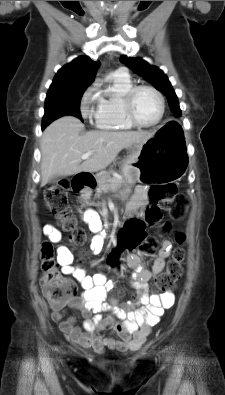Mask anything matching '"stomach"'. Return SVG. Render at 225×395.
Segmentation results:
<instances>
[{
	"instance_id": "obj_1",
	"label": "stomach",
	"mask_w": 225,
	"mask_h": 395,
	"mask_svg": "<svg viewBox=\"0 0 225 395\" xmlns=\"http://www.w3.org/2000/svg\"><path fill=\"white\" fill-rule=\"evenodd\" d=\"M156 133L145 143L135 144L131 154L122 167V173L129 184L163 183L179 180L183 175V165L169 156L165 148L160 146ZM88 198L89 194L86 193Z\"/></svg>"
}]
</instances>
